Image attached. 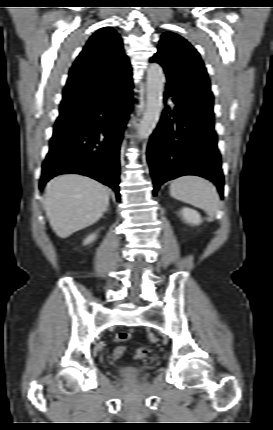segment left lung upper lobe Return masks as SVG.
I'll return each instance as SVG.
<instances>
[{
  "label": "left lung upper lobe",
  "instance_id": "1",
  "mask_svg": "<svg viewBox=\"0 0 273 430\" xmlns=\"http://www.w3.org/2000/svg\"><path fill=\"white\" fill-rule=\"evenodd\" d=\"M166 74V89L197 115L214 120L213 94L199 53L181 36L165 32L158 51L150 59Z\"/></svg>",
  "mask_w": 273,
  "mask_h": 430
}]
</instances>
